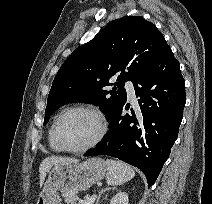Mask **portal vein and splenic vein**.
Here are the masks:
<instances>
[{"mask_svg": "<svg viewBox=\"0 0 212 204\" xmlns=\"http://www.w3.org/2000/svg\"><path fill=\"white\" fill-rule=\"evenodd\" d=\"M96 199V195H92L90 198H88L85 201H81V204H93Z\"/></svg>", "mask_w": 212, "mask_h": 204, "instance_id": "obj_1", "label": "portal vein and splenic vein"}]
</instances>
